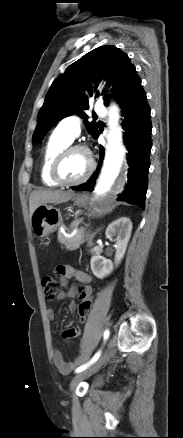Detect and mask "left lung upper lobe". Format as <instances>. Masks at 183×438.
Returning a JSON list of instances; mask_svg holds the SVG:
<instances>
[{"label":"left lung upper lobe","mask_w":183,"mask_h":438,"mask_svg":"<svg viewBox=\"0 0 183 438\" xmlns=\"http://www.w3.org/2000/svg\"><path fill=\"white\" fill-rule=\"evenodd\" d=\"M136 77L134 65L119 48L106 45L88 52L52 83L38 113L33 142L39 143L50 128L66 116L77 113L86 117L83 110L88 109L89 99L99 96L97 85L93 86L92 83L105 78L113 85V93L119 99ZM104 104L107 105V96L104 97ZM86 127L95 137L98 133L97 124L86 121Z\"/></svg>","instance_id":"1"}]
</instances>
